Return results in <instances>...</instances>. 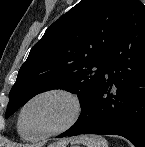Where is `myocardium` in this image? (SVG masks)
I'll return each mask as SVG.
<instances>
[{
    "instance_id": "myocardium-1",
    "label": "myocardium",
    "mask_w": 145,
    "mask_h": 147,
    "mask_svg": "<svg viewBox=\"0 0 145 147\" xmlns=\"http://www.w3.org/2000/svg\"><path fill=\"white\" fill-rule=\"evenodd\" d=\"M48 96H60L68 100L72 106V114L70 118L62 126L56 129L38 134L26 133L23 129V117L27 108L35 101ZM82 112H83L82 101L78 96V94L75 93L74 91L63 87H54V88L45 89L30 96L21 106L17 116L18 131L23 135H25L30 140H39V139L56 136L72 128L79 121Z\"/></svg>"
}]
</instances>
